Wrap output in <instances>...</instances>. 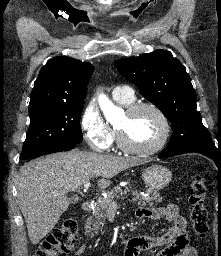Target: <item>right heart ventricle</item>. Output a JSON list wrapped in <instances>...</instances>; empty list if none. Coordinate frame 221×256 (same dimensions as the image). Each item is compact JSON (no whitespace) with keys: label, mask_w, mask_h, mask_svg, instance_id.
<instances>
[{"label":"right heart ventricle","mask_w":221,"mask_h":256,"mask_svg":"<svg viewBox=\"0 0 221 256\" xmlns=\"http://www.w3.org/2000/svg\"><path fill=\"white\" fill-rule=\"evenodd\" d=\"M115 100H116L118 103H120V104H122V105H124V106H128V105H130V104L133 103V99H132V100H123V99H116V98H115Z\"/></svg>","instance_id":"obj_1"}]
</instances>
